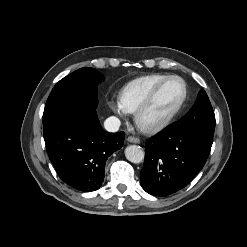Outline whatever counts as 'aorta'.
<instances>
[{"instance_id": "aorta-1", "label": "aorta", "mask_w": 247, "mask_h": 247, "mask_svg": "<svg viewBox=\"0 0 247 247\" xmlns=\"http://www.w3.org/2000/svg\"><path fill=\"white\" fill-rule=\"evenodd\" d=\"M127 160L132 163H141L144 160V152L140 146L130 145L125 149Z\"/></svg>"}]
</instances>
